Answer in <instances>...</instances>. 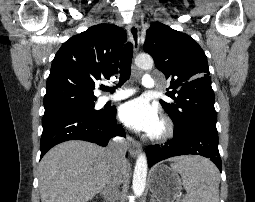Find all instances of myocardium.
<instances>
[{
	"label": "myocardium",
	"instance_id": "obj_1",
	"mask_svg": "<svg viewBox=\"0 0 255 202\" xmlns=\"http://www.w3.org/2000/svg\"><path fill=\"white\" fill-rule=\"evenodd\" d=\"M174 134V125L171 120L163 118L160 121L159 129L151 135V139L157 142L169 140Z\"/></svg>",
	"mask_w": 255,
	"mask_h": 202
}]
</instances>
